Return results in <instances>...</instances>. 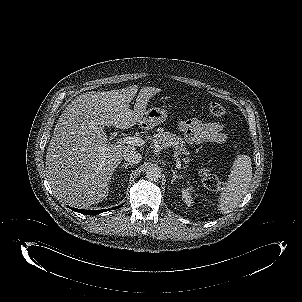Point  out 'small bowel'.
Instances as JSON below:
<instances>
[{
  "instance_id": "c3829d8e",
  "label": "small bowel",
  "mask_w": 302,
  "mask_h": 302,
  "mask_svg": "<svg viewBox=\"0 0 302 302\" xmlns=\"http://www.w3.org/2000/svg\"><path fill=\"white\" fill-rule=\"evenodd\" d=\"M178 128L190 144H220L227 139L224 126L220 122H204L199 119H188L178 122Z\"/></svg>"
}]
</instances>
